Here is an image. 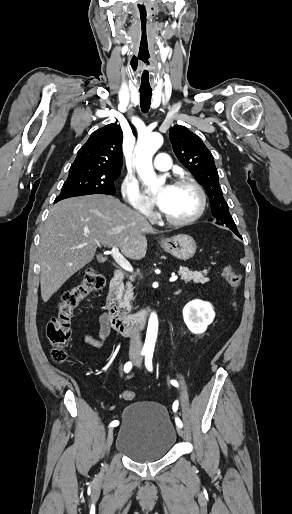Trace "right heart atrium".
Here are the masks:
<instances>
[{
	"mask_svg": "<svg viewBox=\"0 0 292 514\" xmlns=\"http://www.w3.org/2000/svg\"><path fill=\"white\" fill-rule=\"evenodd\" d=\"M120 189L123 198L133 209H143V214L149 210L150 203L143 194L139 181L133 174L130 172L125 174Z\"/></svg>",
	"mask_w": 292,
	"mask_h": 514,
	"instance_id": "right-heart-atrium-1",
	"label": "right heart atrium"
}]
</instances>
